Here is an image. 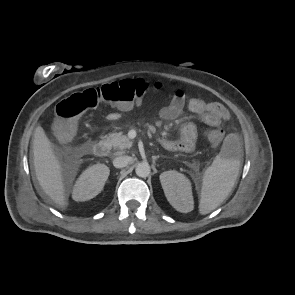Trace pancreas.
I'll use <instances>...</instances> for the list:
<instances>
[{"mask_svg":"<svg viewBox=\"0 0 295 295\" xmlns=\"http://www.w3.org/2000/svg\"><path fill=\"white\" fill-rule=\"evenodd\" d=\"M104 138L110 146H112L115 150H119L120 153H124V149L132 146V141L121 133H111L106 135Z\"/></svg>","mask_w":295,"mask_h":295,"instance_id":"cf45deb5","label":"pancreas"}]
</instances>
